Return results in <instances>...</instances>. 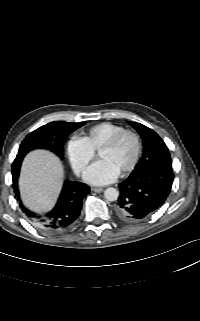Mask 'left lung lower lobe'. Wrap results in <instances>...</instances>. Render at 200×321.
Returning a JSON list of instances; mask_svg holds the SVG:
<instances>
[{"label": "left lung lower lobe", "mask_w": 200, "mask_h": 321, "mask_svg": "<svg viewBox=\"0 0 200 321\" xmlns=\"http://www.w3.org/2000/svg\"><path fill=\"white\" fill-rule=\"evenodd\" d=\"M174 175L171 167L149 166L135 169L119 184L120 195L115 206L124 222H139L163 205L168 197Z\"/></svg>", "instance_id": "0a47b994"}]
</instances>
